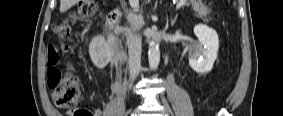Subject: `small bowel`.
I'll return each mask as SVG.
<instances>
[{
    "label": "small bowel",
    "instance_id": "small-bowel-1",
    "mask_svg": "<svg viewBox=\"0 0 283 116\" xmlns=\"http://www.w3.org/2000/svg\"><path fill=\"white\" fill-rule=\"evenodd\" d=\"M57 62V56L53 53V48H50L48 51V57H47V64L49 66V69L47 70L48 76H56L59 74V72L52 68V66ZM69 115H72V112L68 113ZM103 115V112L101 109H93L91 110V116H101Z\"/></svg>",
    "mask_w": 283,
    "mask_h": 116
}]
</instances>
